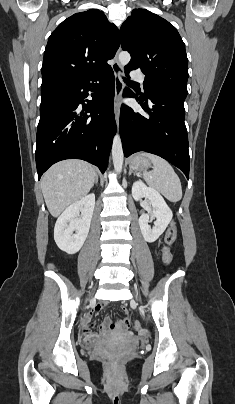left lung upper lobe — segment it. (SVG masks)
Wrapping results in <instances>:
<instances>
[{"label":"left lung upper lobe","mask_w":235,"mask_h":404,"mask_svg":"<svg viewBox=\"0 0 235 404\" xmlns=\"http://www.w3.org/2000/svg\"><path fill=\"white\" fill-rule=\"evenodd\" d=\"M121 47L131 54L125 71L145 74L144 94L187 96L188 59L176 28L150 11L134 9L120 29Z\"/></svg>","instance_id":"obj_1"}]
</instances>
